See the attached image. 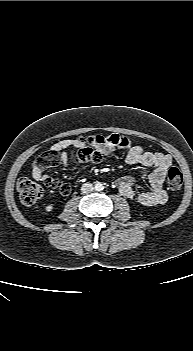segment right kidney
Masks as SVG:
<instances>
[{"mask_svg": "<svg viewBox=\"0 0 193 351\" xmlns=\"http://www.w3.org/2000/svg\"><path fill=\"white\" fill-rule=\"evenodd\" d=\"M45 209H46L47 212H50V211H52L53 206L52 205H48V206H46Z\"/></svg>", "mask_w": 193, "mask_h": 351, "instance_id": "obj_1", "label": "right kidney"}]
</instances>
